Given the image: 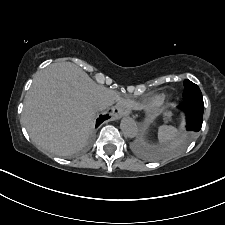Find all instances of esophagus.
Listing matches in <instances>:
<instances>
[{
    "mask_svg": "<svg viewBox=\"0 0 225 225\" xmlns=\"http://www.w3.org/2000/svg\"><path fill=\"white\" fill-rule=\"evenodd\" d=\"M114 113L115 117L120 119L121 117L128 115L130 110L125 104L119 103L114 107Z\"/></svg>",
    "mask_w": 225,
    "mask_h": 225,
    "instance_id": "obj_1",
    "label": "esophagus"
}]
</instances>
